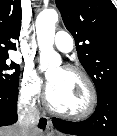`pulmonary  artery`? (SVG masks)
Masks as SVG:
<instances>
[{"mask_svg": "<svg viewBox=\"0 0 117 136\" xmlns=\"http://www.w3.org/2000/svg\"><path fill=\"white\" fill-rule=\"evenodd\" d=\"M54 44L57 50L68 53L72 51L74 46L73 37L67 32L59 31L55 36Z\"/></svg>", "mask_w": 117, "mask_h": 136, "instance_id": "obj_1", "label": "pulmonary artery"}]
</instances>
